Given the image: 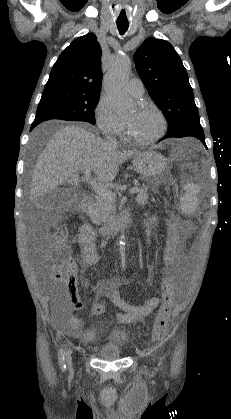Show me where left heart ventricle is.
<instances>
[{"mask_svg":"<svg viewBox=\"0 0 231 419\" xmlns=\"http://www.w3.org/2000/svg\"><path fill=\"white\" fill-rule=\"evenodd\" d=\"M131 133L138 138H150L156 135L161 122L158 115L151 110H142L139 107L134 108L125 117Z\"/></svg>","mask_w":231,"mask_h":419,"instance_id":"b2bd125f","label":"left heart ventricle"}]
</instances>
